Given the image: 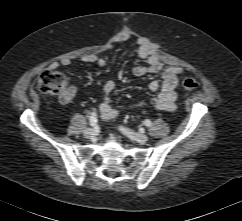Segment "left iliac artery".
I'll list each match as a JSON object with an SVG mask.
<instances>
[{"instance_id":"left-iliac-artery-1","label":"left iliac artery","mask_w":242,"mask_h":221,"mask_svg":"<svg viewBox=\"0 0 242 221\" xmlns=\"http://www.w3.org/2000/svg\"><path fill=\"white\" fill-rule=\"evenodd\" d=\"M144 124H145L146 126H148V127H150V126L152 125V123H151V121H150L149 119H146V120L144 121Z\"/></svg>"}]
</instances>
